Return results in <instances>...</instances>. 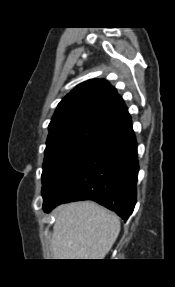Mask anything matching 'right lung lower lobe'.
Here are the masks:
<instances>
[{"instance_id":"98d812e1","label":"right lung lower lobe","mask_w":175,"mask_h":287,"mask_svg":"<svg viewBox=\"0 0 175 287\" xmlns=\"http://www.w3.org/2000/svg\"><path fill=\"white\" fill-rule=\"evenodd\" d=\"M137 142L131 118L118 124L43 196V209L93 200L127 220L136 204Z\"/></svg>"}]
</instances>
